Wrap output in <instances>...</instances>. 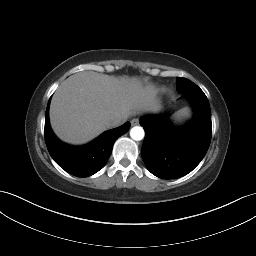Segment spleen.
Segmentation results:
<instances>
[{
	"instance_id": "spleen-1",
	"label": "spleen",
	"mask_w": 256,
	"mask_h": 256,
	"mask_svg": "<svg viewBox=\"0 0 256 256\" xmlns=\"http://www.w3.org/2000/svg\"><path fill=\"white\" fill-rule=\"evenodd\" d=\"M189 115V110L187 108H183L180 112H179V116H183L186 117Z\"/></svg>"
}]
</instances>
